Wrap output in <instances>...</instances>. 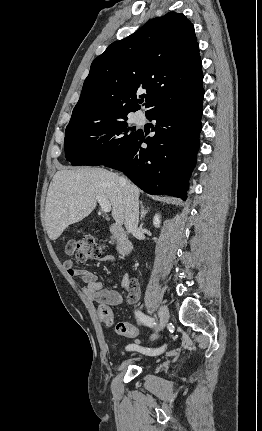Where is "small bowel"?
Instances as JSON below:
<instances>
[{
    "mask_svg": "<svg viewBox=\"0 0 262 431\" xmlns=\"http://www.w3.org/2000/svg\"><path fill=\"white\" fill-rule=\"evenodd\" d=\"M103 261L111 264L115 263V260L110 256H105ZM63 265L70 277L78 278L82 281L85 297L87 300L96 302L98 304L99 314H105L113 319L114 315L111 307L119 305L123 302L121 293L116 290L103 288V284L98 281L97 276L93 272L85 268L74 266L73 261L70 259H66L63 262ZM121 285L122 288L128 291L129 302H136L140 298L141 291L139 284L131 280L128 274L125 273L122 275ZM105 323L110 324L107 322ZM126 325L132 326L130 324Z\"/></svg>",
    "mask_w": 262,
    "mask_h": 431,
    "instance_id": "obj_1",
    "label": "small bowel"
}]
</instances>
